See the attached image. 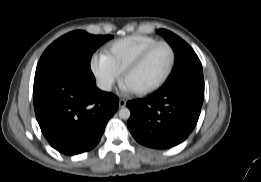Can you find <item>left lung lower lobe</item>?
<instances>
[{"mask_svg":"<svg viewBox=\"0 0 261 182\" xmlns=\"http://www.w3.org/2000/svg\"><path fill=\"white\" fill-rule=\"evenodd\" d=\"M204 99V80L193 79L169 90L129 101L127 126L141 144L167 149L183 142L197 124Z\"/></svg>","mask_w":261,"mask_h":182,"instance_id":"0a47b994","label":"left lung lower lobe"}]
</instances>
